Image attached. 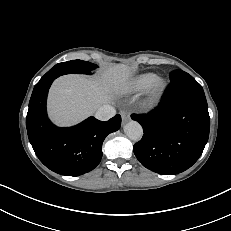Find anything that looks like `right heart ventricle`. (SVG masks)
Returning <instances> with one entry per match:
<instances>
[{
	"mask_svg": "<svg viewBox=\"0 0 231 231\" xmlns=\"http://www.w3.org/2000/svg\"><path fill=\"white\" fill-rule=\"evenodd\" d=\"M158 79L154 73H143L133 79L127 84V89L130 92H141L150 88Z\"/></svg>",
	"mask_w": 231,
	"mask_h": 231,
	"instance_id": "right-heart-ventricle-1",
	"label": "right heart ventricle"
}]
</instances>
